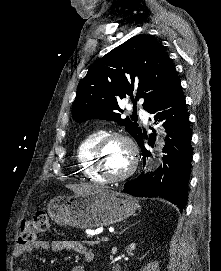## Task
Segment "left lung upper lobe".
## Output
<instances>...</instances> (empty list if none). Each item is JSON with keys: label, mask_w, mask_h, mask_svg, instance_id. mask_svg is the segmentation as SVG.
I'll use <instances>...</instances> for the list:
<instances>
[{"label": "left lung upper lobe", "mask_w": 221, "mask_h": 271, "mask_svg": "<svg viewBox=\"0 0 221 271\" xmlns=\"http://www.w3.org/2000/svg\"><path fill=\"white\" fill-rule=\"evenodd\" d=\"M179 83L164 47L151 36L136 35L94 63L77 87L72 117L115 121L136 139L142 130L132 117L121 118L118 102L131 96L135 106L143 98L150 113Z\"/></svg>", "instance_id": "obj_1"}]
</instances>
